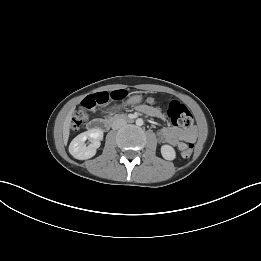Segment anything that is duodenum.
I'll return each instance as SVG.
<instances>
[{"mask_svg":"<svg viewBox=\"0 0 261 261\" xmlns=\"http://www.w3.org/2000/svg\"><path fill=\"white\" fill-rule=\"evenodd\" d=\"M122 119L127 122H132L134 120V117L125 116ZM112 122H113V120H111V119H99V120L92 122L91 128L96 129V130H101V131H107L111 127Z\"/></svg>","mask_w":261,"mask_h":261,"instance_id":"1","label":"duodenum"}]
</instances>
